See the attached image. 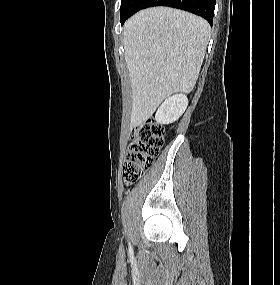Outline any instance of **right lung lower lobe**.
Returning <instances> with one entry per match:
<instances>
[{
    "instance_id": "1",
    "label": "right lung lower lobe",
    "mask_w": 280,
    "mask_h": 285,
    "mask_svg": "<svg viewBox=\"0 0 280 285\" xmlns=\"http://www.w3.org/2000/svg\"><path fill=\"white\" fill-rule=\"evenodd\" d=\"M152 6H169L192 12L213 24L215 0H138L133 11L126 18L120 19L121 24L137 11Z\"/></svg>"
}]
</instances>
